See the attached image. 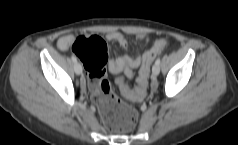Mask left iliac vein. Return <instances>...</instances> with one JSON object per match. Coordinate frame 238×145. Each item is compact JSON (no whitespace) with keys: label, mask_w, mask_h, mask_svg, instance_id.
Wrapping results in <instances>:
<instances>
[{"label":"left iliac vein","mask_w":238,"mask_h":145,"mask_svg":"<svg viewBox=\"0 0 238 145\" xmlns=\"http://www.w3.org/2000/svg\"><path fill=\"white\" fill-rule=\"evenodd\" d=\"M160 72V67L158 64H154L152 67V74L153 76H157Z\"/></svg>","instance_id":"4c4485c4"}]
</instances>
